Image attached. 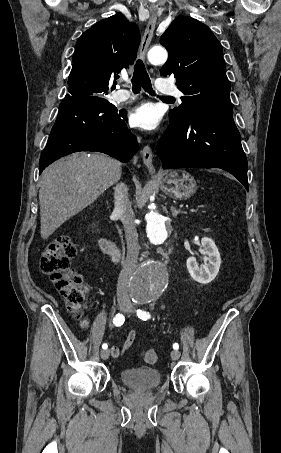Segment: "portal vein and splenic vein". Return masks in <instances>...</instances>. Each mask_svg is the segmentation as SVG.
Wrapping results in <instances>:
<instances>
[{
    "label": "portal vein and splenic vein",
    "instance_id": "1",
    "mask_svg": "<svg viewBox=\"0 0 281 453\" xmlns=\"http://www.w3.org/2000/svg\"><path fill=\"white\" fill-rule=\"evenodd\" d=\"M185 207L187 208L188 206L186 205ZM189 210L193 213H196V212H198L199 209H198V207L194 206V207H191ZM203 212L207 213V210H204Z\"/></svg>",
    "mask_w": 281,
    "mask_h": 453
}]
</instances>
